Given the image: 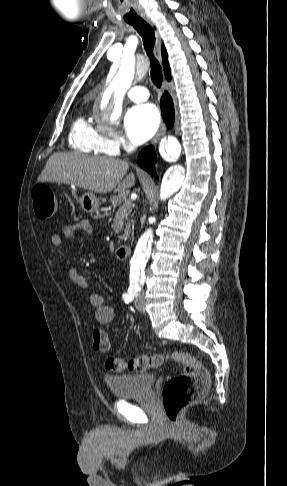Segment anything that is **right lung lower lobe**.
I'll list each match as a JSON object with an SVG mask.
<instances>
[{
  "label": "right lung lower lobe",
  "instance_id": "right-lung-lower-lobe-1",
  "mask_svg": "<svg viewBox=\"0 0 287 486\" xmlns=\"http://www.w3.org/2000/svg\"><path fill=\"white\" fill-rule=\"evenodd\" d=\"M160 104L163 119L166 122L167 126L171 127L174 123V107L172 99L167 92L163 94ZM137 161L141 168L155 175V172L153 170V163H155L156 161V155L152 146L143 149L139 153Z\"/></svg>",
  "mask_w": 287,
  "mask_h": 486
}]
</instances>
